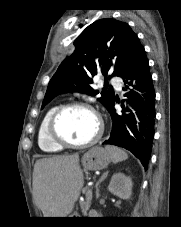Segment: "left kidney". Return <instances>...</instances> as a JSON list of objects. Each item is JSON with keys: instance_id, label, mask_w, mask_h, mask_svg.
<instances>
[{"instance_id": "left-kidney-1", "label": "left kidney", "mask_w": 181, "mask_h": 227, "mask_svg": "<svg viewBox=\"0 0 181 227\" xmlns=\"http://www.w3.org/2000/svg\"><path fill=\"white\" fill-rule=\"evenodd\" d=\"M132 180L124 173H115L110 180L108 190L122 199H129L132 195Z\"/></svg>"}]
</instances>
